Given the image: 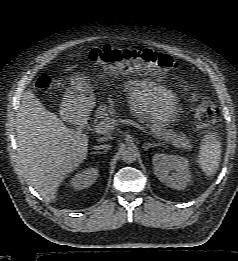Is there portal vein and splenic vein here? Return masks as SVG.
<instances>
[{"label": "portal vein and splenic vein", "instance_id": "1", "mask_svg": "<svg viewBox=\"0 0 238 261\" xmlns=\"http://www.w3.org/2000/svg\"><path fill=\"white\" fill-rule=\"evenodd\" d=\"M117 123L132 125V126L138 128L139 130H141L142 132L147 133L145 127H143L141 124H139L133 120H130V119H124V120L121 119L118 121L117 120H108V121L99 122L95 126V132L98 134L109 133L115 129V126L117 125Z\"/></svg>", "mask_w": 238, "mask_h": 261}]
</instances>
